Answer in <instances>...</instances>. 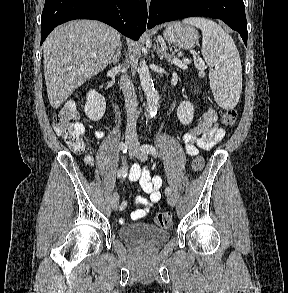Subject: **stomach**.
<instances>
[{"label":"stomach","instance_id":"1","mask_svg":"<svg viewBox=\"0 0 288 293\" xmlns=\"http://www.w3.org/2000/svg\"><path fill=\"white\" fill-rule=\"evenodd\" d=\"M163 36L167 42L182 49L193 48L199 39L198 31L195 28L180 23L169 25Z\"/></svg>","mask_w":288,"mask_h":293}]
</instances>
